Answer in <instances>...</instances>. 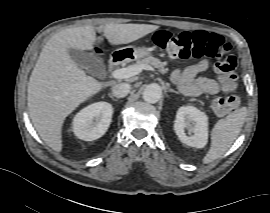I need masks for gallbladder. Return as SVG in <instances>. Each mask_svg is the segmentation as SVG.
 I'll use <instances>...</instances> for the list:
<instances>
[{"label": "gallbladder", "instance_id": "bac80fb5", "mask_svg": "<svg viewBox=\"0 0 270 213\" xmlns=\"http://www.w3.org/2000/svg\"><path fill=\"white\" fill-rule=\"evenodd\" d=\"M68 53L77 66L85 69L90 75L100 77L104 74L105 66L94 54L78 49H69Z\"/></svg>", "mask_w": 270, "mask_h": 213}]
</instances>
